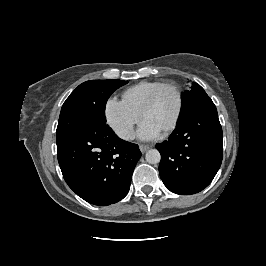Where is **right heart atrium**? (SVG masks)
Here are the masks:
<instances>
[{
	"instance_id": "d8ad5b80",
	"label": "right heart atrium",
	"mask_w": 266,
	"mask_h": 266,
	"mask_svg": "<svg viewBox=\"0 0 266 266\" xmlns=\"http://www.w3.org/2000/svg\"><path fill=\"white\" fill-rule=\"evenodd\" d=\"M104 116L110 128L122 139L129 140L140 114L130 108L123 100L110 97L104 105Z\"/></svg>"
}]
</instances>
